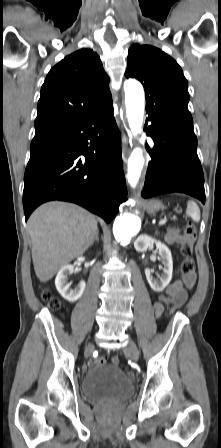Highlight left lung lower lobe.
<instances>
[{
  "label": "left lung lower lobe",
  "instance_id": "left-lung-lower-lobe-1",
  "mask_svg": "<svg viewBox=\"0 0 221 448\" xmlns=\"http://www.w3.org/2000/svg\"><path fill=\"white\" fill-rule=\"evenodd\" d=\"M151 125L147 134L154 141L150 153L142 196L182 192L205 203L204 175L197 156L196 136L173 130L160 122L147 118Z\"/></svg>",
  "mask_w": 221,
  "mask_h": 448
}]
</instances>
